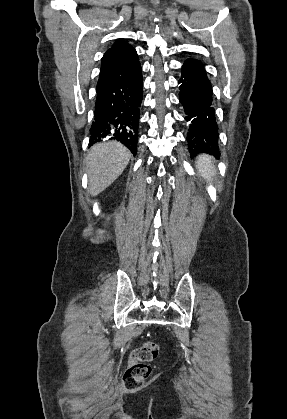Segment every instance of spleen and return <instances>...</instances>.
I'll return each instance as SVG.
<instances>
[{
	"mask_svg": "<svg viewBox=\"0 0 287 419\" xmlns=\"http://www.w3.org/2000/svg\"><path fill=\"white\" fill-rule=\"evenodd\" d=\"M197 167L203 178L208 181L212 180L215 175V167L212 164L211 157L208 155H201L197 161Z\"/></svg>",
	"mask_w": 287,
	"mask_h": 419,
	"instance_id": "3e777b00",
	"label": "spleen"
}]
</instances>
